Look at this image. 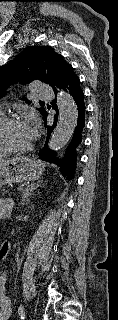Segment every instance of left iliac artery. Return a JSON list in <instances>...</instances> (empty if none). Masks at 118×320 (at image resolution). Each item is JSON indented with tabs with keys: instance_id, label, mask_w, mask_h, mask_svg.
<instances>
[{
	"instance_id": "44dca946",
	"label": "left iliac artery",
	"mask_w": 118,
	"mask_h": 320,
	"mask_svg": "<svg viewBox=\"0 0 118 320\" xmlns=\"http://www.w3.org/2000/svg\"><path fill=\"white\" fill-rule=\"evenodd\" d=\"M18 313H19L21 319L24 320V319H25V309H24V306L21 305V306L19 307Z\"/></svg>"
}]
</instances>
